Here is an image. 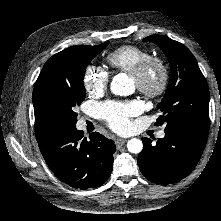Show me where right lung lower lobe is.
<instances>
[{
    "label": "right lung lower lobe",
    "mask_w": 221,
    "mask_h": 221,
    "mask_svg": "<svg viewBox=\"0 0 221 221\" xmlns=\"http://www.w3.org/2000/svg\"><path fill=\"white\" fill-rule=\"evenodd\" d=\"M83 135L76 126L60 127L38 144L49 168L62 182L85 190L98 187L109 178L116 147L97 132L89 139Z\"/></svg>",
    "instance_id": "98d812e1"
}]
</instances>
